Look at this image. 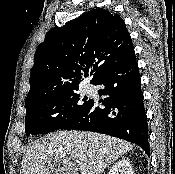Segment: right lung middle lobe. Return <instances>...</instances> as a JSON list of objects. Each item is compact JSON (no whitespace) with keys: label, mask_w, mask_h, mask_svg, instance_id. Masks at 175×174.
Returning <instances> with one entry per match:
<instances>
[{"label":"right lung middle lobe","mask_w":175,"mask_h":174,"mask_svg":"<svg viewBox=\"0 0 175 174\" xmlns=\"http://www.w3.org/2000/svg\"><path fill=\"white\" fill-rule=\"evenodd\" d=\"M77 91L78 88L58 92L26 105L25 133L46 134L76 119L90 102Z\"/></svg>","instance_id":"1"}]
</instances>
